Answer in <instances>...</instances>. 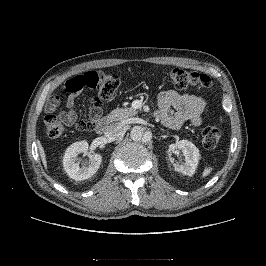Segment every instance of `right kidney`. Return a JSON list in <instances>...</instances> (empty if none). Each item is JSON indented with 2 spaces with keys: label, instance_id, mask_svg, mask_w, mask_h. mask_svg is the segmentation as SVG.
Listing matches in <instances>:
<instances>
[{
  "label": "right kidney",
  "instance_id": "1",
  "mask_svg": "<svg viewBox=\"0 0 266 266\" xmlns=\"http://www.w3.org/2000/svg\"><path fill=\"white\" fill-rule=\"evenodd\" d=\"M88 147L86 141L76 142L67 148L63 157L64 170L70 178L76 181L86 180L93 176L102 162V156L97 153L88 155L90 159L88 166L85 164L80 166L76 162L79 154L88 152Z\"/></svg>",
  "mask_w": 266,
  "mask_h": 266
}]
</instances>
